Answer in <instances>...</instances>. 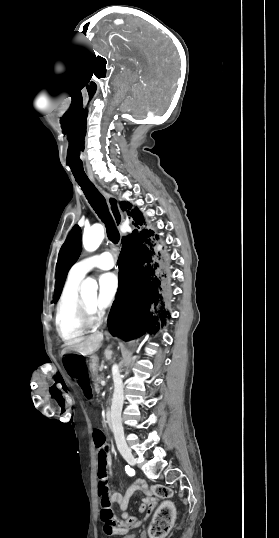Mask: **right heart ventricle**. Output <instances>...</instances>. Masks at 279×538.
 Instances as JSON below:
<instances>
[{
  "instance_id": "e07e8e85",
  "label": "right heart ventricle",
  "mask_w": 279,
  "mask_h": 538,
  "mask_svg": "<svg viewBox=\"0 0 279 538\" xmlns=\"http://www.w3.org/2000/svg\"><path fill=\"white\" fill-rule=\"evenodd\" d=\"M107 233L106 224L103 219H99L92 227H88L83 232V240L92 235L105 236ZM85 276H75L69 272L67 281L59 298L56 307V329L64 341H73L84 335L89 327L76 325L72 320V311L81 297V285Z\"/></svg>"
}]
</instances>
